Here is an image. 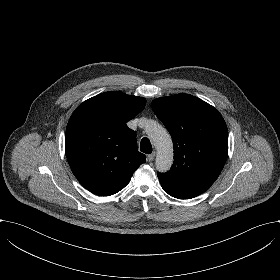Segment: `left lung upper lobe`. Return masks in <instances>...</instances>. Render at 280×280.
<instances>
[{
	"label": "left lung upper lobe",
	"mask_w": 280,
	"mask_h": 280,
	"mask_svg": "<svg viewBox=\"0 0 280 280\" xmlns=\"http://www.w3.org/2000/svg\"><path fill=\"white\" fill-rule=\"evenodd\" d=\"M152 108L174 147L171 169L158 173L163 189L179 199L202 194L218 178L227 159L228 130L223 117L213 106L183 93L155 99Z\"/></svg>",
	"instance_id": "1"
}]
</instances>
